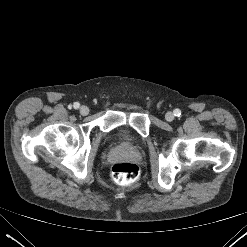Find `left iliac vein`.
<instances>
[{
  "mask_svg": "<svg viewBox=\"0 0 247 247\" xmlns=\"http://www.w3.org/2000/svg\"><path fill=\"white\" fill-rule=\"evenodd\" d=\"M165 119L169 122L174 120V114L172 112H167L165 115Z\"/></svg>",
  "mask_w": 247,
  "mask_h": 247,
  "instance_id": "obj_1",
  "label": "left iliac vein"
}]
</instances>
